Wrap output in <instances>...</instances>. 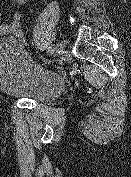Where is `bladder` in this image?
<instances>
[{
  "mask_svg": "<svg viewBox=\"0 0 131 177\" xmlns=\"http://www.w3.org/2000/svg\"><path fill=\"white\" fill-rule=\"evenodd\" d=\"M63 77L38 65L17 39L0 41V91L33 101L47 102L63 93Z\"/></svg>",
  "mask_w": 131,
  "mask_h": 177,
  "instance_id": "obj_1",
  "label": "bladder"
}]
</instances>
